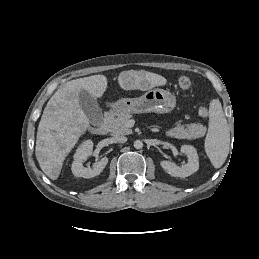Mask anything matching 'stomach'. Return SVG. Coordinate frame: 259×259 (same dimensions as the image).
Returning a JSON list of instances; mask_svg holds the SVG:
<instances>
[{"label":"stomach","mask_w":259,"mask_h":259,"mask_svg":"<svg viewBox=\"0 0 259 259\" xmlns=\"http://www.w3.org/2000/svg\"><path fill=\"white\" fill-rule=\"evenodd\" d=\"M176 106L175 96L164 89H149L138 98H122L112 104L115 114L169 113Z\"/></svg>","instance_id":"obj_1"}]
</instances>
